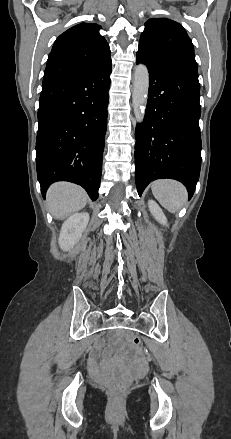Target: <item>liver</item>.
<instances>
[{
  "label": "liver",
  "instance_id": "liver-1",
  "mask_svg": "<svg viewBox=\"0 0 231 439\" xmlns=\"http://www.w3.org/2000/svg\"><path fill=\"white\" fill-rule=\"evenodd\" d=\"M88 202L86 192L77 185L57 182L47 191V204L54 218L62 220L84 208Z\"/></svg>",
  "mask_w": 231,
  "mask_h": 439
}]
</instances>
